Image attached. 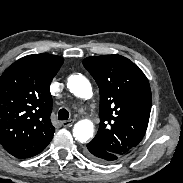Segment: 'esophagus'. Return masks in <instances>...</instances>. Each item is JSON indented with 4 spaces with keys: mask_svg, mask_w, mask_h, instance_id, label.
I'll use <instances>...</instances> for the list:
<instances>
[{
    "mask_svg": "<svg viewBox=\"0 0 183 183\" xmlns=\"http://www.w3.org/2000/svg\"><path fill=\"white\" fill-rule=\"evenodd\" d=\"M74 122H75L74 119H70V120H67V121H62L61 125L64 126V127H70Z\"/></svg>",
    "mask_w": 183,
    "mask_h": 183,
    "instance_id": "34e87169",
    "label": "esophagus"
}]
</instances>
